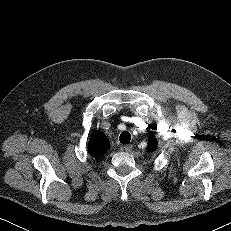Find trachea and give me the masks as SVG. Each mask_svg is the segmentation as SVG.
I'll use <instances>...</instances> for the list:
<instances>
[{"label": "trachea", "mask_w": 231, "mask_h": 231, "mask_svg": "<svg viewBox=\"0 0 231 231\" xmlns=\"http://www.w3.org/2000/svg\"><path fill=\"white\" fill-rule=\"evenodd\" d=\"M119 139H120V142L122 144H128L130 142V140H131V135H130L129 132L124 131V132H122L120 134V138Z\"/></svg>", "instance_id": "1"}]
</instances>
